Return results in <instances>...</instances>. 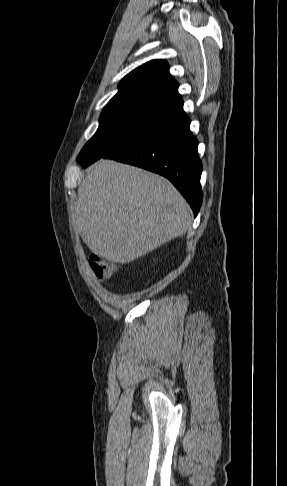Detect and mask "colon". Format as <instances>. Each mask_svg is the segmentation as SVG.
Returning <instances> with one entry per match:
<instances>
[{"label": "colon", "instance_id": "1", "mask_svg": "<svg viewBox=\"0 0 287 486\" xmlns=\"http://www.w3.org/2000/svg\"><path fill=\"white\" fill-rule=\"evenodd\" d=\"M90 265L99 279H108L116 269V264L108 262L93 254L90 257Z\"/></svg>", "mask_w": 287, "mask_h": 486}]
</instances>
